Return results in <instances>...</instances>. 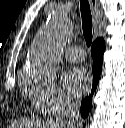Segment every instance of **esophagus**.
<instances>
[{"label":"esophagus","mask_w":125,"mask_h":128,"mask_svg":"<svg viewBox=\"0 0 125 128\" xmlns=\"http://www.w3.org/2000/svg\"><path fill=\"white\" fill-rule=\"evenodd\" d=\"M89 2H90L91 11H92L94 26L96 27L100 20L98 1L97 0H89Z\"/></svg>","instance_id":"1"}]
</instances>
